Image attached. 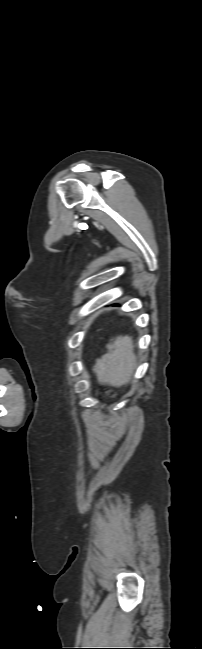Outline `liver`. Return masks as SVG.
<instances>
[{
	"instance_id": "1",
	"label": "liver",
	"mask_w": 202,
	"mask_h": 649,
	"mask_svg": "<svg viewBox=\"0 0 202 649\" xmlns=\"http://www.w3.org/2000/svg\"><path fill=\"white\" fill-rule=\"evenodd\" d=\"M107 352L96 359L93 371L98 381L112 386L127 384L136 366L133 339L130 336H117L106 345Z\"/></svg>"
}]
</instances>
